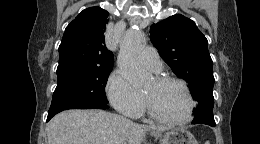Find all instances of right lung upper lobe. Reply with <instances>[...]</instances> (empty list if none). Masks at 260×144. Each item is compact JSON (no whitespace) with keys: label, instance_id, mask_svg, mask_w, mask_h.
Segmentation results:
<instances>
[{"label":"right lung upper lobe","instance_id":"obj_1","mask_svg":"<svg viewBox=\"0 0 260 144\" xmlns=\"http://www.w3.org/2000/svg\"><path fill=\"white\" fill-rule=\"evenodd\" d=\"M109 13L100 7L83 10L67 27L59 46L57 69L113 67L114 56L105 46Z\"/></svg>","mask_w":260,"mask_h":144}]
</instances>
